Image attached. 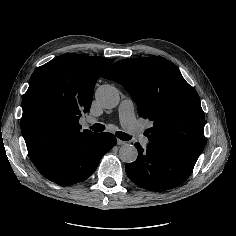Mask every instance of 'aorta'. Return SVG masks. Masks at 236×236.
I'll list each match as a JSON object with an SVG mask.
<instances>
[{
	"mask_svg": "<svg viewBox=\"0 0 236 236\" xmlns=\"http://www.w3.org/2000/svg\"><path fill=\"white\" fill-rule=\"evenodd\" d=\"M97 102L105 109L114 108L119 104L118 90L112 85H102L96 91ZM138 151L135 146L124 144L119 150V158L122 162L132 163L136 161Z\"/></svg>",
	"mask_w": 236,
	"mask_h": 236,
	"instance_id": "1",
	"label": "aorta"
}]
</instances>
